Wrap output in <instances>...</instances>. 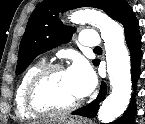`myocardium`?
I'll return each mask as SVG.
<instances>
[{"mask_svg": "<svg viewBox=\"0 0 145 124\" xmlns=\"http://www.w3.org/2000/svg\"><path fill=\"white\" fill-rule=\"evenodd\" d=\"M58 71H66V69L58 63L47 64L41 67L31 78L25 91V106L30 113L35 115H62L74 111L81 105L82 100L79 99L70 105L59 107L43 98V85L50 75Z\"/></svg>", "mask_w": 145, "mask_h": 124, "instance_id": "f54148a6", "label": "myocardium"}]
</instances>
